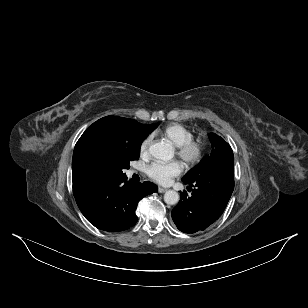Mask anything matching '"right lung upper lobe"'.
Instances as JSON below:
<instances>
[{
    "label": "right lung upper lobe",
    "instance_id": "obj_1",
    "mask_svg": "<svg viewBox=\"0 0 308 308\" xmlns=\"http://www.w3.org/2000/svg\"><path fill=\"white\" fill-rule=\"evenodd\" d=\"M148 125L133 119L103 117L82 134L75 145L72 160V180L74 195L109 178L110 155L121 147L141 142Z\"/></svg>",
    "mask_w": 308,
    "mask_h": 308
}]
</instances>
